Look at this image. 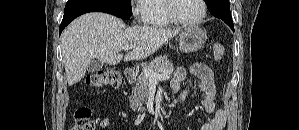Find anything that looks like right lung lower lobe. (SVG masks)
<instances>
[{
	"label": "right lung lower lobe",
	"instance_id": "1",
	"mask_svg": "<svg viewBox=\"0 0 299 130\" xmlns=\"http://www.w3.org/2000/svg\"><path fill=\"white\" fill-rule=\"evenodd\" d=\"M88 12H104L108 14H112L119 18L129 19L130 14L116 8L113 6L103 5L99 3H91V2H73L66 4L64 10L63 20L59 27V35L63 31V29L76 17L88 13Z\"/></svg>",
	"mask_w": 299,
	"mask_h": 130
}]
</instances>
